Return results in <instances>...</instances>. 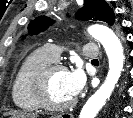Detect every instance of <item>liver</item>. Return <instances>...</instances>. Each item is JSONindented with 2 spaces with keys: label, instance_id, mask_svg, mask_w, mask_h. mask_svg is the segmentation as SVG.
<instances>
[{
  "label": "liver",
  "instance_id": "6515ba94",
  "mask_svg": "<svg viewBox=\"0 0 133 118\" xmlns=\"http://www.w3.org/2000/svg\"><path fill=\"white\" fill-rule=\"evenodd\" d=\"M6 115H11L12 118H37V114H31V113H26V112H21V111H11L6 113Z\"/></svg>",
  "mask_w": 133,
  "mask_h": 118
}]
</instances>
